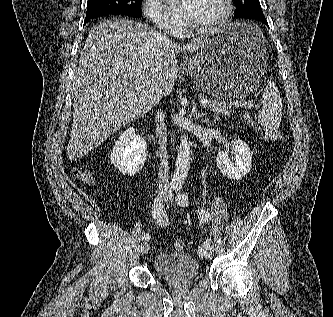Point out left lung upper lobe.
<instances>
[{
  "label": "left lung upper lobe",
  "mask_w": 333,
  "mask_h": 317,
  "mask_svg": "<svg viewBox=\"0 0 333 317\" xmlns=\"http://www.w3.org/2000/svg\"><path fill=\"white\" fill-rule=\"evenodd\" d=\"M236 5L235 17L251 12H262L259 0H233Z\"/></svg>",
  "instance_id": "1"
}]
</instances>
